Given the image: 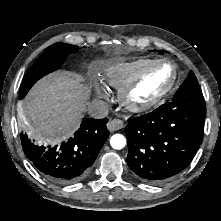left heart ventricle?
Instances as JSON below:
<instances>
[{
	"instance_id": "obj_1",
	"label": "left heart ventricle",
	"mask_w": 221,
	"mask_h": 221,
	"mask_svg": "<svg viewBox=\"0 0 221 221\" xmlns=\"http://www.w3.org/2000/svg\"><path fill=\"white\" fill-rule=\"evenodd\" d=\"M170 76V69L166 66L154 68L134 90L133 97L137 100L150 98L166 86Z\"/></svg>"
}]
</instances>
